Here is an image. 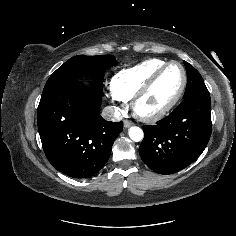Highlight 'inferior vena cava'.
I'll list each match as a JSON object with an SVG mask.
<instances>
[{"label": "inferior vena cava", "instance_id": "inferior-vena-cava-1", "mask_svg": "<svg viewBox=\"0 0 236 236\" xmlns=\"http://www.w3.org/2000/svg\"><path fill=\"white\" fill-rule=\"evenodd\" d=\"M119 116V112L110 106L105 107L102 111V117L106 120L116 121L119 119Z\"/></svg>", "mask_w": 236, "mask_h": 236}]
</instances>
